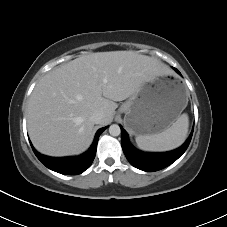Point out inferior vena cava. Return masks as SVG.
Returning a JSON list of instances; mask_svg holds the SVG:
<instances>
[{"label":"inferior vena cava","instance_id":"inferior-vena-cava-1","mask_svg":"<svg viewBox=\"0 0 227 227\" xmlns=\"http://www.w3.org/2000/svg\"><path fill=\"white\" fill-rule=\"evenodd\" d=\"M102 118H103V114L99 111H96L91 115L90 121L93 122L94 124H99Z\"/></svg>","mask_w":227,"mask_h":227}]
</instances>
